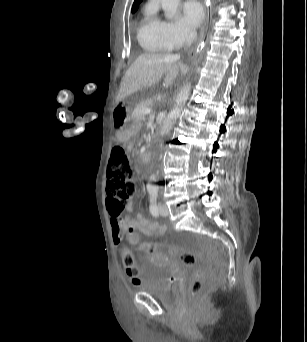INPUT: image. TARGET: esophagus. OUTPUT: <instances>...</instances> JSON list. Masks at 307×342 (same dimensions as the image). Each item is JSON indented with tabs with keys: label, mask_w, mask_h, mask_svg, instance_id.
I'll return each mask as SVG.
<instances>
[{
	"label": "esophagus",
	"mask_w": 307,
	"mask_h": 342,
	"mask_svg": "<svg viewBox=\"0 0 307 342\" xmlns=\"http://www.w3.org/2000/svg\"><path fill=\"white\" fill-rule=\"evenodd\" d=\"M203 7H204L205 18H204V20H203L202 27H203V28H206V26H207V23H208V8H207V0H204V2H203ZM203 37H204V35H203V34H201V35H200V40H202V39H203ZM191 51H193V50H191Z\"/></svg>",
	"instance_id": "34e87169"
}]
</instances>
